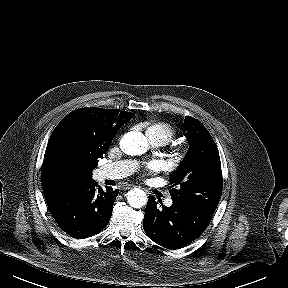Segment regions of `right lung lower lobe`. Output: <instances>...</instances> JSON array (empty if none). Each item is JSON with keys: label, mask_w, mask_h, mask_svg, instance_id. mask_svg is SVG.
Here are the masks:
<instances>
[{"label": "right lung lower lobe", "mask_w": 288, "mask_h": 288, "mask_svg": "<svg viewBox=\"0 0 288 288\" xmlns=\"http://www.w3.org/2000/svg\"><path fill=\"white\" fill-rule=\"evenodd\" d=\"M117 190L96 186L95 181L44 194L58 225L74 238H88L109 223Z\"/></svg>", "instance_id": "obj_1"}]
</instances>
